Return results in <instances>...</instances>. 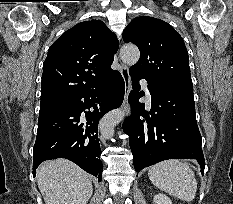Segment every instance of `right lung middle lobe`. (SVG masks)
<instances>
[{"mask_svg":"<svg viewBox=\"0 0 233 204\" xmlns=\"http://www.w3.org/2000/svg\"><path fill=\"white\" fill-rule=\"evenodd\" d=\"M66 102L67 100H61L40 104L39 120L58 111L66 104Z\"/></svg>","mask_w":233,"mask_h":204,"instance_id":"obj_1","label":"right lung middle lobe"}]
</instances>
